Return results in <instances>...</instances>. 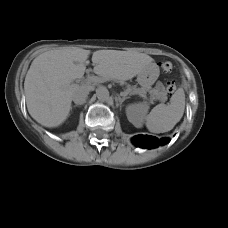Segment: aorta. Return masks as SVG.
Here are the masks:
<instances>
[{"label":"aorta","mask_w":228,"mask_h":228,"mask_svg":"<svg viewBox=\"0 0 228 228\" xmlns=\"http://www.w3.org/2000/svg\"><path fill=\"white\" fill-rule=\"evenodd\" d=\"M96 96L101 102H107L110 99L109 91L104 86H100L96 89Z\"/></svg>","instance_id":"762f6f07"}]
</instances>
